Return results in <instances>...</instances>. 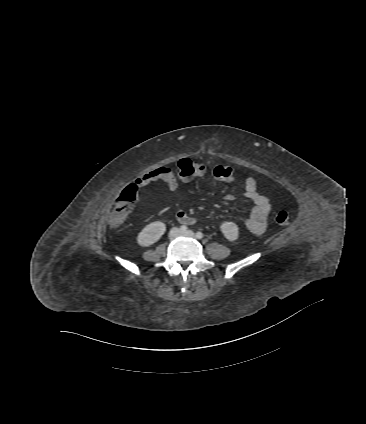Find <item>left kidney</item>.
Instances as JSON below:
<instances>
[{
	"instance_id": "left-kidney-1",
	"label": "left kidney",
	"mask_w": 366,
	"mask_h": 424,
	"mask_svg": "<svg viewBox=\"0 0 366 424\" xmlns=\"http://www.w3.org/2000/svg\"><path fill=\"white\" fill-rule=\"evenodd\" d=\"M224 237L229 241H235L239 236V228L234 222H223L220 226Z\"/></svg>"
}]
</instances>
